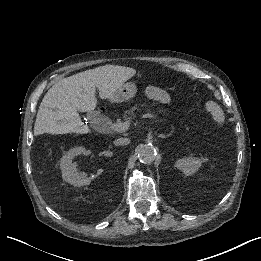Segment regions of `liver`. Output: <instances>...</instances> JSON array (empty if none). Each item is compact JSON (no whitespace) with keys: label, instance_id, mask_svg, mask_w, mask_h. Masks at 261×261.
<instances>
[{"label":"liver","instance_id":"6515ba94","mask_svg":"<svg viewBox=\"0 0 261 261\" xmlns=\"http://www.w3.org/2000/svg\"><path fill=\"white\" fill-rule=\"evenodd\" d=\"M135 74L134 69L128 68H97L55 83L39 106L34 135L95 133L82 121L78 112L95 111L98 105L97 89L101 99L109 100L116 90Z\"/></svg>","mask_w":261,"mask_h":261}]
</instances>
